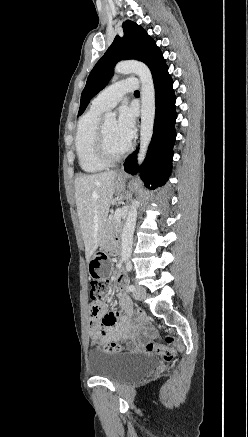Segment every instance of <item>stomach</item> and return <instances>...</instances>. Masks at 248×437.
<instances>
[{"mask_svg": "<svg viewBox=\"0 0 248 437\" xmlns=\"http://www.w3.org/2000/svg\"><path fill=\"white\" fill-rule=\"evenodd\" d=\"M126 178L117 175L115 186L117 191L123 190ZM114 264L110 262V257L106 256L105 250H96L95 255L89 261V273L91 279H108L109 271H113Z\"/></svg>", "mask_w": 248, "mask_h": 437, "instance_id": "obj_1", "label": "stomach"}]
</instances>
